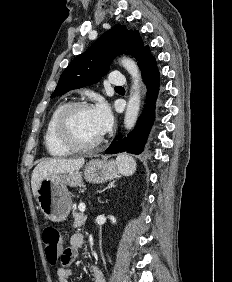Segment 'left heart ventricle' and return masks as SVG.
Masks as SVG:
<instances>
[{"mask_svg":"<svg viewBox=\"0 0 232 282\" xmlns=\"http://www.w3.org/2000/svg\"><path fill=\"white\" fill-rule=\"evenodd\" d=\"M69 128L72 136L80 143H91L102 136L94 119L93 108L75 111Z\"/></svg>","mask_w":232,"mask_h":282,"instance_id":"1","label":"left heart ventricle"}]
</instances>
